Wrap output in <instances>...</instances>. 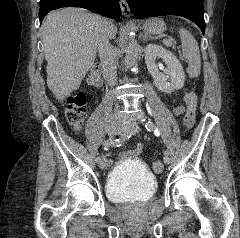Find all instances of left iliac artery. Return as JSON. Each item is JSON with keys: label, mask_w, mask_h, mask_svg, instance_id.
I'll return each instance as SVG.
<instances>
[{"label": "left iliac artery", "mask_w": 240, "mask_h": 238, "mask_svg": "<svg viewBox=\"0 0 240 238\" xmlns=\"http://www.w3.org/2000/svg\"><path fill=\"white\" fill-rule=\"evenodd\" d=\"M145 128L148 131H153V129H155V126L152 122L148 121L145 123ZM164 155H168V152H164Z\"/></svg>", "instance_id": "1"}]
</instances>
